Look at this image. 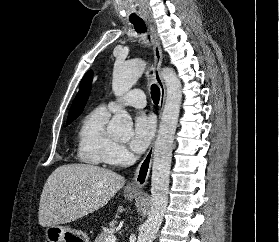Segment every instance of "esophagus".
I'll list each match as a JSON object with an SVG mask.
<instances>
[{
    "mask_svg": "<svg viewBox=\"0 0 279 242\" xmlns=\"http://www.w3.org/2000/svg\"><path fill=\"white\" fill-rule=\"evenodd\" d=\"M152 43H153V51H154V60H155V73L154 78L156 83L160 89V102H159V112L161 114L165 99H166V87L161 75V65H162V49L160 45V40L157 35V32L153 25L149 23ZM154 143L151 144L147 154L143 158V160L139 163L133 180L127 185L126 190L130 192H141L145 184L147 183L151 164L153 157Z\"/></svg>",
    "mask_w": 279,
    "mask_h": 242,
    "instance_id": "esophagus-1",
    "label": "esophagus"
}]
</instances>
